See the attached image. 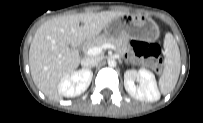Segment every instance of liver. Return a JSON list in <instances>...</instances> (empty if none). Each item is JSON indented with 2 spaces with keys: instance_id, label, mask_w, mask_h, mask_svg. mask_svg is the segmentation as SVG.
Masks as SVG:
<instances>
[{
  "instance_id": "1",
  "label": "liver",
  "mask_w": 203,
  "mask_h": 123,
  "mask_svg": "<svg viewBox=\"0 0 203 123\" xmlns=\"http://www.w3.org/2000/svg\"><path fill=\"white\" fill-rule=\"evenodd\" d=\"M124 14L102 12L63 15L42 24L34 35L29 51L31 75L37 88L49 100H61L60 82L80 64L81 58L76 48Z\"/></svg>"
}]
</instances>
